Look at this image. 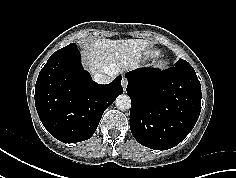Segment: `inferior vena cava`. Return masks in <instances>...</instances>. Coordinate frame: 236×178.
Returning <instances> with one entry per match:
<instances>
[{
	"label": "inferior vena cava",
	"instance_id": "1",
	"mask_svg": "<svg viewBox=\"0 0 236 178\" xmlns=\"http://www.w3.org/2000/svg\"><path fill=\"white\" fill-rule=\"evenodd\" d=\"M116 76V72L114 70L109 71L108 73H98L93 76V79L98 84H108L113 78Z\"/></svg>",
	"mask_w": 236,
	"mask_h": 178
}]
</instances>
